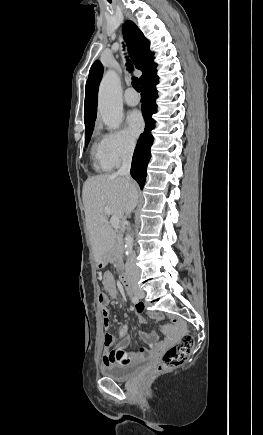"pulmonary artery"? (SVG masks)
Masks as SVG:
<instances>
[{"label": "pulmonary artery", "mask_w": 263, "mask_h": 435, "mask_svg": "<svg viewBox=\"0 0 263 435\" xmlns=\"http://www.w3.org/2000/svg\"><path fill=\"white\" fill-rule=\"evenodd\" d=\"M124 101L128 106H136L139 103L140 99L134 89L129 88L125 93Z\"/></svg>", "instance_id": "1"}]
</instances>
